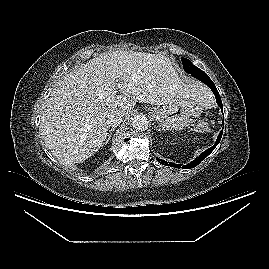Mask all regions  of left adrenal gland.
Masks as SVG:
<instances>
[{
  "label": "left adrenal gland",
  "instance_id": "a2214340",
  "mask_svg": "<svg viewBox=\"0 0 269 269\" xmlns=\"http://www.w3.org/2000/svg\"><path fill=\"white\" fill-rule=\"evenodd\" d=\"M155 128H156V130L160 131L157 127H155Z\"/></svg>",
  "mask_w": 269,
  "mask_h": 269
}]
</instances>
